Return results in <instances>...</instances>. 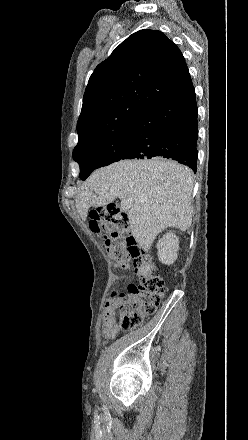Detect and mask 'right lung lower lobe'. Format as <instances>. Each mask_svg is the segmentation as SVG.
I'll list each match as a JSON object with an SVG mask.
<instances>
[{
  "instance_id": "98d812e1",
  "label": "right lung lower lobe",
  "mask_w": 248,
  "mask_h": 440,
  "mask_svg": "<svg viewBox=\"0 0 248 440\" xmlns=\"http://www.w3.org/2000/svg\"><path fill=\"white\" fill-rule=\"evenodd\" d=\"M130 144L121 159L164 157L196 172L197 105L194 88L161 101L127 125Z\"/></svg>"
}]
</instances>
